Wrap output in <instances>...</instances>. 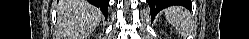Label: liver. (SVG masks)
<instances>
[{"label": "liver", "instance_id": "liver-1", "mask_svg": "<svg viewBox=\"0 0 249 39\" xmlns=\"http://www.w3.org/2000/svg\"><path fill=\"white\" fill-rule=\"evenodd\" d=\"M76 13V30L78 37H83L92 32L100 23L102 13L86 0L74 1Z\"/></svg>", "mask_w": 249, "mask_h": 39}]
</instances>
